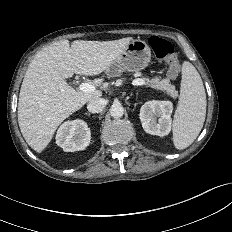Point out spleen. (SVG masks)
Instances as JSON below:
<instances>
[{"instance_id":"3e777b00","label":"spleen","mask_w":232,"mask_h":232,"mask_svg":"<svg viewBox=\"0 0 232 232\" xmlns=\"http://www.w3.org/2000/svg\"><path fill=\"white\" fill-rule=\"evenodd\" d=\"M206 94L196 68L182 64L180 97L173 119V142L176 149L190 146L199 135L206 116Z\"/></svg>"}]
</instances>
